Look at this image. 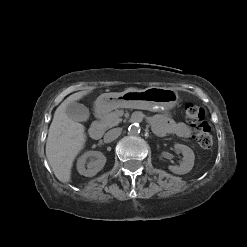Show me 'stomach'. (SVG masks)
<instances>
[{
	"mask_svg": "<svg viewBox=\"0 0 247 247\" xmlns=\"http://www.w3.org/2000/svg\"><path fill=\"white\" fill-rule=\"evenodd\" d=\"M178 101L179 94L176 90L166 87H150L124 93H104L95 101V107L100 113L116 108L168 111L173 109Z\"/></svg>",
	"mask_w": 247,
	"mask_h": 247,
	"instance_id": "0dacf381",
	"label": "stomach"
}]
</instances>
